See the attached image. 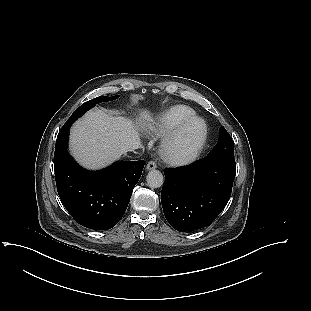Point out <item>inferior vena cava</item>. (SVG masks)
Wrapping results in <instances>:
<instances>
[{
  "label": "inferior vena cava",
  "instance_id": "1",
  "mask_svg": "<svg viewBox=\"0 0 311 311\" xmlns=\"http://www.w3.org/2000/svg\"><path fill=\"white\" fill-rule=\"evenodd\" d=\"M126 151L127 152H134V153H136V152H139L140 151V148H141V146H140V144L139 143H136V142H134V143H127L126 144Z\"/></svg>",
  "mask_w": 311,
  "mask_h": 311
}]
</instances>
